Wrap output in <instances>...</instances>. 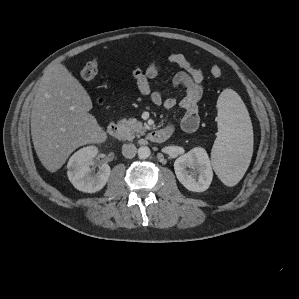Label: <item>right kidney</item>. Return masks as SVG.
Listing matches in <instances>:
<instances>
[{"label":"right kidney","instance_id":"obj_1","mask_svg":"<svg viewBox=\"0 0 299 299\" xmlns=\"http://www.w3.org/2000/svg\"><path fill=\"white\" fill-rule=\"evenodd\" d=\"M98 152L96 146H87L70 157L67 163V176L77 190L85 193H95L106 185L111 173L110 166L106 163H100L96 175L90 168V164Z\"/></svg>","mask_w":299,"mask_h":299}]
</instances>
